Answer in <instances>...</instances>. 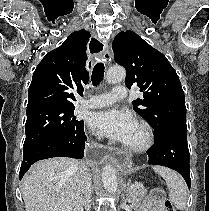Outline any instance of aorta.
<instances>
[{"label":"aorta","instance_id":"aorta-1","mask_svg":"<svg viewBox=\"0 0 209 211\" xmlns=\"http://www.w3.org/2000/svg\"><path fill=\"white\" fill-rule=\"evenodd\" d=\"M126 71L121 66H114L108 69L106 80L108 83L116 84L123 81ZM102 182L104 188L109 193H115L118 188L116 170L111 165H105L102 170Z\"/></svg>","mask_w":209,"mask_h":211}]
</instances>
